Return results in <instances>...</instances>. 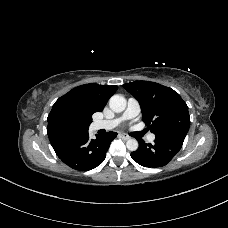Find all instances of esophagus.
Listing matches in <instances>:
<instances>
[{
  "label": "esophagus",
  "instance_id": "1",
  "mask_svg": "<svg viewBox=\"0 0 228 228\" xmlns=\"http://www.w3.org/2000/svg\"><path fill=\"white\" fill-rule=\"evenodd\" d=\"M121 138H122L123 140H128V139H130L131 137H130L129 135L125 134V133H122V134H121Z\"/></svg>",
  "mask_w": 228,
  "mask_h": 228
}]
</instances>
